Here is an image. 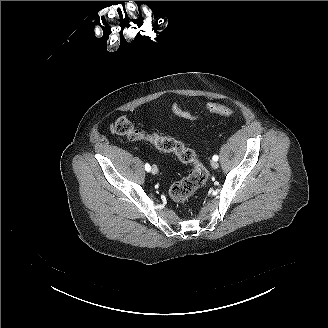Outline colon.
Segmentation results:
<instances>
[{
	"instance_id": "5ec220e1",
	"label": "colon",
	"mask_w": 328,
	"mask_h": 328,
	"mask_svg": "<svg viewBox=\"0 0 328 328\" xmlns=\"http://www.w3.org/2000/svg\"><path fill=\"white\" fill-rule=\"evenodd\" d=\"M171 109L177 117L182 119L196 120L198 118V116L186 111L178 102L173 103ZM205 111L207 113L217 114L224 117H230L233 115V110L230 107L217 103L207 104ZM114 131L119 135L125 136L129 140L147 141L161 151L175 154L180 161L192 166V169L187 176L171 185L169 192L170 197L174 202H185L206 183L208 179L207 169L197 158L195 152L186 147L181 141L171 137H164L157 133H148L136 129L127 116H121L116 120Z\"/></svg>"
}]
</instances>
